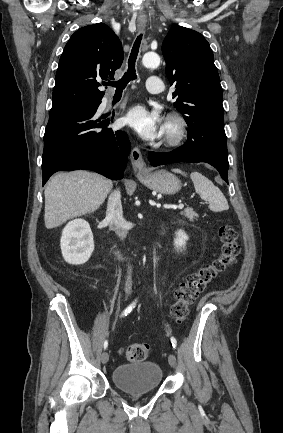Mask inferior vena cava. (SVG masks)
I'll return each instance as SVG.
<instances>
[{
    "mask_svg": "<svg viewBox=\"0 0 283 433\" xmlns=\"http://www.w3.org/2000/svg\"><path fill=\"white\" fill-rule=\"evenodd\" d=\"M123 210L121 204L120 190H114L111 192L108 200L106 219L110 221L111 225H114L116 235L120 237L121 241L127 237V229H124V219L122 217ZM132 269L128 267V277L125 281V293H131L132 291Z\"/></svg>",
    "mask_w": 283,
    "mask_h": 433,
    "instance_id": "602c4592",
    "label": "inferior vena cava"
}]
</instances>
